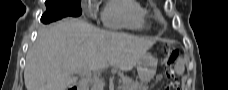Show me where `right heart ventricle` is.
<instances>
[{
	"instance_id": "1",
	"label": "right heart ventricle",
	"mask_w": 228,
	"mask_h": 90,
	"mask_svg": "<svg viewBox=\"0 0 228 90\" xmlns=\"http://www.w3.org/2000/svg\"><path fill=\"white\" fill-rule=\"evenodd\" d=\"M102 19L105 26L142 31L148 24V10L134 0H111L103 9Z\"/></svg>"
}]
</instances>
